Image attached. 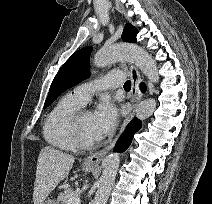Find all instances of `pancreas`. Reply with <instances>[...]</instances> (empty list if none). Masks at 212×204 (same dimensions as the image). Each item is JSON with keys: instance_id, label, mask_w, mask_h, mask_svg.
<instances>
[{"instance_id": "1", "label": "pancreas", "mask_w": 212, "mask_h": 204, "mask_svg": "<svg viewBox=\"0 0 212 204\" xmlns=\"http://www.w3.org/2000/svg\"><path fill=\"white\" fill-rule=\"evenodd\" d=\"M79 191L74 190L73 188H67L63 193H60L58 195V201L61 202V204H67L68 200L73 197H78Z\"/></svg>"}]
</instances>
